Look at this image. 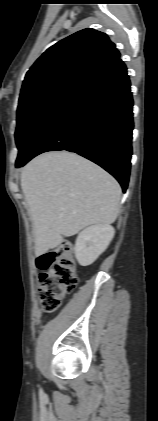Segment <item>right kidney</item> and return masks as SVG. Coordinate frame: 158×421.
<instances>
[{
    "label": "right kidney",
    "instance_id": "right-kidney-1",
    "mask_svg": "<svg viewBox=\"0 0 158 421\" xmlns=\"http://www.w3.org/2000/svg\"><path fill=\"white\" fill-rule=\"evenodd\" d=\"M115 230L106 224H97L84 229L75 243V257L81 266L91 265L108 247Z\"/></svg>",
    "mask_w": 158,
    "mask_h": 421
}]
</instances>
